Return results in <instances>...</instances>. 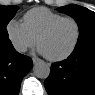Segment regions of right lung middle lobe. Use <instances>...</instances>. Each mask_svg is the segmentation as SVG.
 I'll return each mask as SVG.
<instances>
[{"label": "right lung middle lobe", "mask_w": 95, "mask_h": 95, "mask_svg": "<svg viewBox=\"0 0 95 95\" xmlns=\"http://www.w3.org/2000/svg\"><path fill=\"white\" fill-rule=\"evenodd\" d=\"M18 7L15 5L0 6V43L10 42L6 26L15 16Z\"/></svg>", "instance_id": "dd1d6c3e"}]
</instances>
